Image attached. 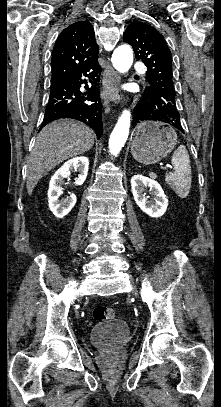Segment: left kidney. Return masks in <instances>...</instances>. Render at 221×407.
Instances as JSON below:
<instances>
[{
    "label": "left kidney",
    "mask_w": 221,
    "mask_h": 407,
    "mask_svg": "<svg viewBox=\"0 0 221 407\" xmlns=\"http://www.w3.org/2000/svg\"><path fill=\"white\" fill-rule=\"evenodd\" d=\"M146 188L155 195L154 201H147L144 194ZM131 189L136 204L149 216L158 218L166 212L168 199L157 181L139 174L134 175L131 179Z\"/></svg>",
    "instance_id": "5707ae66"
}]
</instances>
